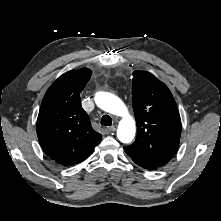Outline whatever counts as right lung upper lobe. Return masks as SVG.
Listing matches in <instances>:
<instances>
[{"label":"right lung upper lobe","mask_w":221,"mask_h":221,"mask_svg":"<svg viewBox=\"0 0 221 221\" xmlns=\"http://www.w3.org/2000/svg\"><path fill=\"white\" fill-rule=\"evenodd\" d=\"M91 70H71L60 76L46 92L37 120V135L44 152L61 165L85 160L102 140L81 106L79 94Z\"/></svg>","instance_id":"right-lung-upper-lobe-1"}]
</instances>
